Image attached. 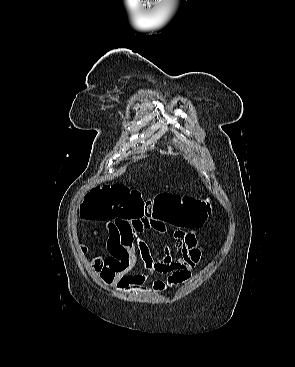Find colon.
<instances>
[{"mask_svg":"<svg viewBox=\"0 0 295 367\" xmlns=\"http://www.w3.org/2000/svg\"><path fill=\"white\" fill-rule=\"evenodd\" d=\"M210 209L205 199L170 193H160L152 201H145L139 191L119 183L92 188L80 206L81 215L89 220L161 219L190 230L204 224Z\"/></svg>","mask_w":295,"mask_h":367,"instance_id":"obj_1","label":"colon"}]
</instances>
